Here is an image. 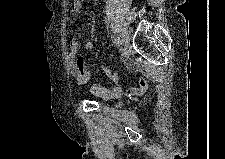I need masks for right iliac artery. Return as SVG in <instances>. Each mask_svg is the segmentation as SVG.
<instances>
[{"mask_svg":"<svg viewBox=\"0 0 225 159\" xmlns=\"http://www.w3.org/2000/svg\"><path fill=\"white\" fill-rule=\"evenodd\" d=\"M113 42L115 45L119 46L121 43V40L118 36L113 37Z\"/></svg>","mask_w":225,"mask_h":159,"instance_id":"right-iliac-artery-1","label":"right iliac artery"}]
</instances>
